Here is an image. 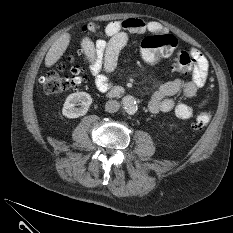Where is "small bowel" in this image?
<instances>
[{"label":"small bowel","instance_id":"obj_1","mask_svg":"<svg viewBox=\"0 0 233 233\" xmlns=\"http://www.w3.org/2000/svg\"><path fill=\"white\" fill-rule=\"evenodd\" d=\"M87 29L101 36L95 43L89 38H84L81 46L89 61V70L96 88L100 92H107L111 87L109 76L116 69L119 54L127 44L129 36L141 35L147 31L159 32L162 30V25L156 21L145 22L140 18H127L109 22L104 27L91 23ZM189 53L193 59L191 78L174 79L162 84L149 100L148 109L151 113L173 112L182 120L189 119L193 115V107L186 103L176 102L173 97L177 94L185 98L195 96L207 82L209 64L207 58L199 50L193 48ZM208 101L209 98H204L197 108L204 107Z\"/></svg>","mask_w":233,"mask_h":233}]
</instances>
